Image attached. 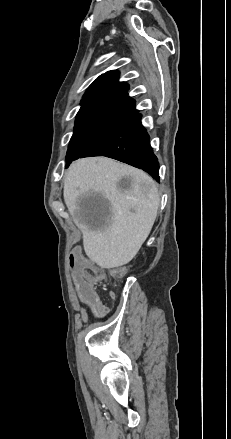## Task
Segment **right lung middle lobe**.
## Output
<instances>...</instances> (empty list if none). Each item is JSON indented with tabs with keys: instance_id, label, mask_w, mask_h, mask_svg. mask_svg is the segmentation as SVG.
I'll return each instance as SVG.
<instances>
[{
	"instance_id": "obj_1",
	"label": "right lung middle lobe",
	"mask_w": 231,
	"mask_h": 439,
	"mask_svg": "<svg viewBox=\"0 0 231 439\" xmlns=\"http://www.w3.org/2000/svg\"><path fill=\"white\" fill-rule=\"evenodd\" d=\"M122 122L121 119L111 117H77L75 130L66 155V167L106 137Z\"/></svg>"
}]
</instances>
